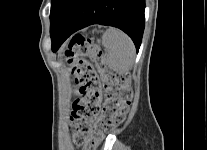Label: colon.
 I'll use <instances>...</instances> for the list:
<instances>
[{"mask_svg": "<svg viewBox=\"0 0 207 150\" xmlns=\"http://www.w3.org/2000/svg\"><path fill=\"white\" fill-rule=\"evenodd\" d=\"M64 55L81 94L74 101L70 116L73 141L93 150L124 121L132 101L130 76L113 68L101 50L82 35L72 38ZM87 58L95 62L99 71Z\"/></svg>", "mask_w": 207, "mask_h": 150, "instance_id": "colon-1", "label": "colon"}]
</instances>
